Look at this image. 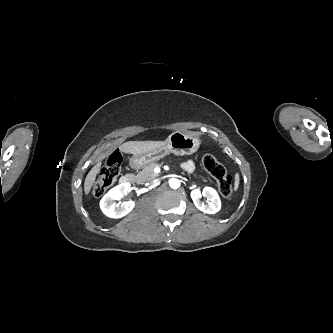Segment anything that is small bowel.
Returning a JSON list of instances; mask_svg holds the SVG:
<instances>
[{"label": "small bowel", "mask_w": 333, "mask_h": 333, "mask_svg": "<svg viewBox=\"0 0 333 333\" xmlns=\"http://www.w3.org/2000/svg\"><path fill=\"white\" fill-rule=\"evenodd\" d=\"M184 169L188 170V171H192L194 168V164L192 161H187L183 164Z\"/></svg>", "instance_id": "small-bowel-1"}]
</instances>
